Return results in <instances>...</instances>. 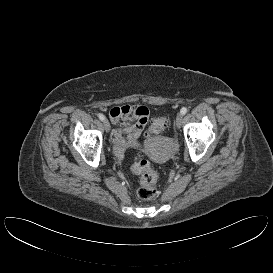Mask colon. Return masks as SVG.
I'll use <instances>...</instances> for the list:
<instances>
[{"mask_svg":"<svg viewBox=\"0 0 273 273\" xmlns=\"http://www.w3.org/2000/svg\"><path fill=\"white\" fill-rule=\"evenodd\" d=\"M167 117H159L155 119L147 133V135H158L162 133L168 126ZM132 172L139 176V188L137 195L142 200H151L157 195L156 183L158 180V172L154 170L146 159L137 160L132 166Z\"/></svg>","mask_w":273,"mask_h":273,"instance_id":"1","label":"colon"}]
</instances>
